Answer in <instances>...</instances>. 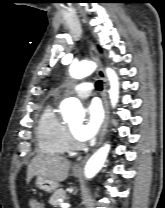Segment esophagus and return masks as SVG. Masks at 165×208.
<instances>
[{"label":"esophagus","mask_w":165,"mask_h":208,"mask_svg":"<svg viewBox=\"0 0 165 208\" xmlns=\"http://www.w3.org/2000/svg\"><path fill=\"white\" fill-rule=\"evenodd\" d=\"M90 54L92 59L98 63V68H97V73L99 75V77L102 79L103 81V91H102V100H103V105H104V111H105V117H104V122L101 128V132H100V136H99V140L97 143V146L100 145L104 139V136L106 134L107 131V125H108V115H109V109H108V101H107V92H108V82H107V78L105 75V72L103 70V67L101 65V61H100V57L98 54V51L95 47V45L93 43L90 44ZM88 158V155L85 156L80 163H78L77 165L74 166V170H81L82 169V165L85 162V160Z\"/></svg>","instance_id":"1"}]
</instances>
